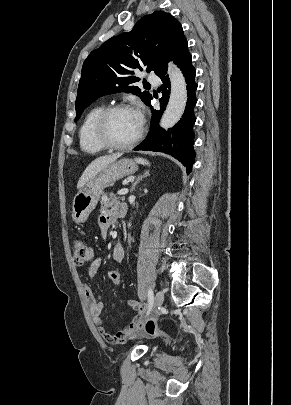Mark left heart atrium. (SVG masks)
<instances>
[{
	"label": "left heart atrium",
	"instance_id": "39dd6f15",
	"mask_svg": "<svg viewBox=\"0 0 291 405\" xmlns=\"http://www.w3.org/2000/svg\"><path fill=\"white\" fill-rule=\"evenodd\" d=\"M135 112L137 114V117H138V120H139L140 124H142V121H143L142 113L139 110H135Z\"/></svg>",
	"mask_w": 291,
	"mask_h": 405
}]
</instances>
